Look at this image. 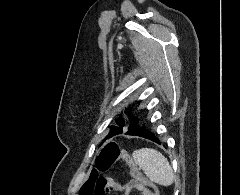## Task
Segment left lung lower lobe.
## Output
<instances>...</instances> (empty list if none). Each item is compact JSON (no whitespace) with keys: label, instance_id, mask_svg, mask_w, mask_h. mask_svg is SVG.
I'll return each mask as SVG.
<instances>
[{"label":"left lung lower lobe","instance_id":"obj_1","mask_svg":"<svg viewBox=\"0 0 240 195\" xmlns=\"http://www.w3.org/2000/svg\"><path fill=\"white\" fill-rule=\"evenodd\" d=\"M127 134L141 136L160 143L159 140L149 130H147L144 126L138 125V119L128 126Z\"/></svg>","mask_w":240,"mask_h":195}]
</instances>
